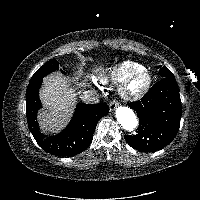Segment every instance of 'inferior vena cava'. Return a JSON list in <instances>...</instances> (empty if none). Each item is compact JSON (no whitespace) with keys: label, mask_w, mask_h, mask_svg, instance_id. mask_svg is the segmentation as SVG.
<instances>
[{"label":"inferior vena cava","mask_w":200,"mask_h":200,"mask_svg":"<svg viewBox=\"0 0 200 200\" xmlns=\"http://www.w3.org/2000/svg\"><path fill=\"white\" fill-rule=\"evenodd\" d=\"M81 100L85 103H98L99 95L97 91H85L80 96Z\"/></svg>","instance_id":"obj_1"}]
</instances>
